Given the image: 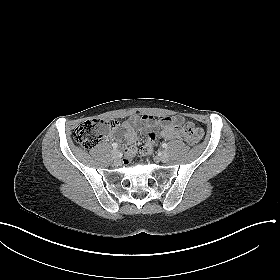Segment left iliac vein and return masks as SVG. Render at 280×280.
<instances>
[{
	"label": "left iliac vein",
	"mask_w": 280,
	"mask_h": 280,
	"mask_svg": "<svg viewBox=\"0 0 280 280\" xmlns=\"http://www.w3.org/2000/svg\"><path fill=\"white\" fill-rule=\"evenodd\" d=\"M159 160L161 162H167L169 160V154L167 153V151H162L159 155Z\"/></svg>",
	"instance_id": "1"
}]
</instances>
